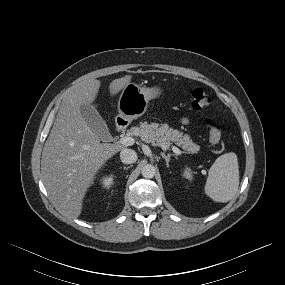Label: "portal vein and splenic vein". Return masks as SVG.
Instances as JSON below:
<instances>
[{
  "label": "portal vein and splenic vein",
  "instance_id": "portal-vein-and-splenic-vein-1",
  "mask_svg": "<svg viewBox=\"0 0 285 285\" xmlns=\"http://www.w3.org/2000/svg\"><path fill=\"white\" fill-rule=\"evenodd\" d=\"M134 142H135L134 138L129 137V136H122V137L120 138V143L123 144V145H125V146H131V145L134 144ZM162 148L165 149L166 147H165V146H162ZM172 150H173V152H174L175 154H177V155H180V154H181L180 149L177 148L176 146H173V147H172Z\"/></svg>",
  "mask_w": 285,
  "mask_h": 285
}]
</instances>
